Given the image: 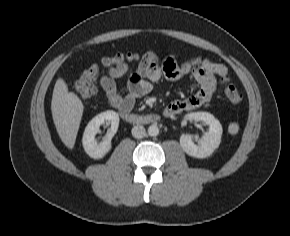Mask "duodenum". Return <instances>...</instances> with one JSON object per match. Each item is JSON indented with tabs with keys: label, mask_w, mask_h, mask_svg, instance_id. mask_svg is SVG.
<instances>
[{
	"label": "duodenum",
	"mask_w": 290,
	"mask_h": 236,
	"mask_svg": "<svg viewBox=\"0 0 290 236\" xmlns=\"http://www.w3.org/2000/svg\"><path fill=\"white\" fill-rule=\"evenodd\" d=\"M122 117L130 123L134 124H144V123H153L158 122L160 117L155 114L149 115H138L133 113H122Z\"/></svg>",
	"instance_id": "1"
}]
</instances>
